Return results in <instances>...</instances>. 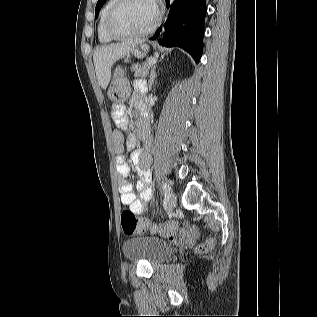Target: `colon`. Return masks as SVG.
<instances>
[{
	"instance_id": "5ec220e1",
	"label": "colon",
	"mask_w": 317,
	"mask_h": 317,
	"mask_svg": "<svg viewBox=\"0 0 317 317\" xmlns=\"http://www.w3.org/2000/svg\"><path fill=\"white\" fill-rule=\"evenodd\" d=\"M129 95V83L121 69H117L108 87V97L113 109L122 107ZM121 227L126 235H132L151 228L154 232L170 237L177 231V224L169 222L150 226L145 220L138 218L131 210L125 209L121 213ZM214 240L210 239L198 247L199 252H208L212 249Z\"/></svg>"
}]
</instances>
